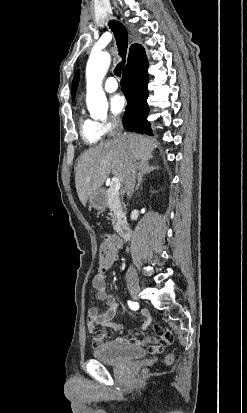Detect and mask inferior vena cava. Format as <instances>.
<instances>
[{"mask_svg":"<svg viewBox=\"0 0 247 413\" xmlns=\"http://www.w3.org/2000/svg\"><path fill=\"white\" fill-rule=\"evenodd\" d=\"M126 134H123L121 128L115 130V134L113 136V140L115 142H122V140H126ZM126 150H128V158L125 166V174H124V188L125 192H127L128 196H132L134 192V186L136 182V172L138 168H141V162H136V154L133 150V146H126ZM126 281H137V273L134 267H129L126 273Z\"/></svg>","mask_w":247,"mask_h":413,"instance_id":"602c4592","label":"inferior vena cava"}]
</instances>
